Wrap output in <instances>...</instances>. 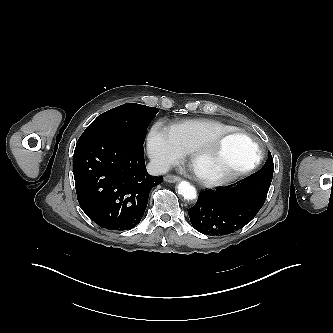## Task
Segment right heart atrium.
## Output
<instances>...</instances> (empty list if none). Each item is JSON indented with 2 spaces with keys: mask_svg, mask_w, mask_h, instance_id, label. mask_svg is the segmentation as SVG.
Wrapping results in <instances>:
<instances>
[{
  "mask_svg": "<svg viewBox=\"0 0 333 333\" xmlns=\"http://www.w3.org/2000/svg\"><path fill=\"white\" fill-rule=\"evenodd\" d=\"M147 148L152 163L160 171L168 169L186 153L171 129L160 122L154 123L150 128Z\"/></svg>",
  "mask_w": 333,
  "mask_h": 333,
  "instance_id": "1",
  "label": "right heart atrium"
}]
</instances>
